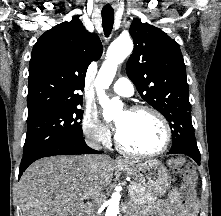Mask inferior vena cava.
Wrapping results in <instances>:
<instances>
[{"mask_svg":"<svg viewBox=\"0 0 221 216\" xmlns=\"http://www.w3.org/2000/svg\"><path fill=\"white\" fill-rule=\"evenodd\" d=\"M87 144L96 150H101V145L99 141L95 138H90ZM98 158L99 156H88L89 168L91 171L96 172L98 168ZM102 189L101 187H95V193L93 195V202L87 208V216H97V210L99 207V197Z\"/></svg>","mask_w":221,"mask_h":216,"instance_id":"inferior-vena-cava-1","label":"inferior vena cava"}]
</instances>
